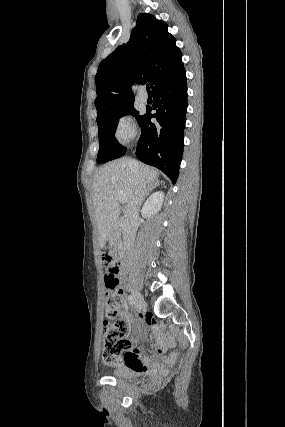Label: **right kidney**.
<instances>
[{
	"label": "right kidney",
	"instance_id": "obj_1",
	"mask_svg": "<svg viewBox=\"0 0 285 427\" xmlns=\"http://www.w3.org/2000/svg\"><path fill=\"white\" fill-rule=\"evenodd\" d=\"M164 201V193L158 191L153 193L145 202L142 208V215L144 218H150L156 214L162 207Z\"/></svg>",
	"mask_w": 285,
	"mask_h": 427
}]
</instances>
